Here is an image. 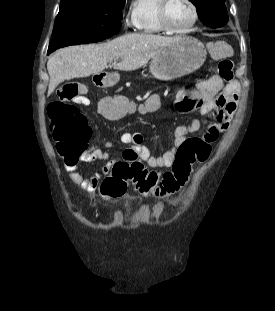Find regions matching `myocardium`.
I'll return each mask as SVG.
<instances>
[{
  "instance_id": "1",
  "label": "myocardium",
  "mask_w": 275,
  "mask_h": 311,
  "mask_svg": "<svg viewBox=\"0 0 275 311\" xmlns=\"http://www.w3.org/2000/svg\"><path fill=\"white\" fill-rule=\"evenodd\" d=\"M186 1L192 9V13H193L192 20L184 28L175 29L170 25L168 21V16H167L168 7H169L171 0H160L159 6H158V20H159V24L161 28L165 32L170 33V34H183V33L188 32L195 26V24L198 21V17H199L198 8L193 0H186Z\"/></svg>"
}]
</instances>
